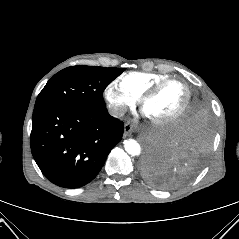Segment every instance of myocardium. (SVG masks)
<instances>
[{"label": "myocardium", "mask_w": 239, "mask_h": 239, "mask_svg": "<svg viewBox=\"0 0 239 239\" xmlns=\"http://www.w3.org/2000/svg\"><path fill=\"white\" fill-rule=\"evenodd\" d=\"M172 82H179L184 86V88L186 90V99H185L183 105L175 113H173L169 116L153 117V116H149L145 113L146 116L150 119V121L154 124H164V123H169V122L175 121V120L179 119L180 117H182L185 114V112L187 111V109L189 108L191 98H192L191 88L185 81H183L179 78H176V77H167V78L162 79L161 81L155 83L151 87H149L140 96V99H139L140 107L143 109L144 104L149 99L154 97L164 86H166L167 84L172 83Z\"/></svg>", "instance_id": "obj_1"}]
</instances>
